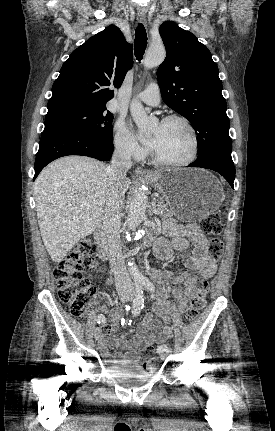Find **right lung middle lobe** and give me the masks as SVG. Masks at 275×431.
Masks as SVG:
<instances>
[{"instance_id": "1", "label": "right lung middle lobe", "mask_w": 275, "mask_h": 431, "mask_svg": "<svg viewBox=\"0 0 275 431\" xmlns=\"http://www.w3.org/2000/svg\"><path fill=\"white\" fill-rule=\"evenodd\" d=\"M112 121L106 105L66 108L46 114L44 132L68 130L112 141Z\"/></svg>"}]
</instances>
